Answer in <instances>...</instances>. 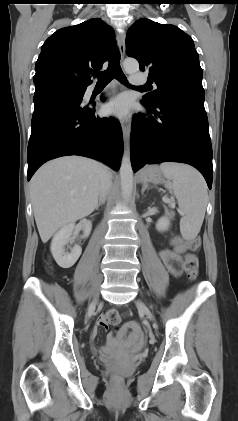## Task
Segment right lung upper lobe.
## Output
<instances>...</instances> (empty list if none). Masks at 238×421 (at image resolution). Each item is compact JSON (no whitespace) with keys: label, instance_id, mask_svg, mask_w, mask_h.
Instances as JSON below:
<instances>
[{"label":"right lung upper lobe","instance_id":"right-lung-upper-lobe-1","mask_svg":"<svg viewBox=\"0 0 238 421\" xmlns=\"http://www.w3.org/2000/svg\"><path fill=\"white\" fill-rule=\"evenodd\" d=\"M115 44L113 29L99 18L59 29L42 45L34 83L87 87Z\"/></svg>","mask_w":238,"mask_h":421}]
</instances>
